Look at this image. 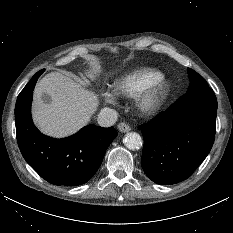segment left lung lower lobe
<instances>
[{
  "instance_id": "obj_1",
  "label": "left lung lower lobe",
  "mask_w": 233,
  "mask_h": 233,
  "mask_svg": "<svg viewBox=\"0 0 233 233\" xmlns=\"http://www.w3.org/2000/svg\"><path fill=\"white\" fill-rule=\"evenodd\" d=\"M217 99L212 89L186 92L165 112L140 126L141 165L150 180L171 185L189 178L210 152Z\"/></svg>"
}]
</instances>
